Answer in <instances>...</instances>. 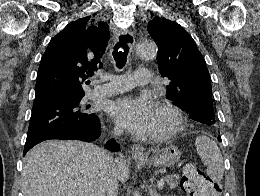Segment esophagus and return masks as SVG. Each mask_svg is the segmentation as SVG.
Instances as JSON below:
<instances>
[{
    "label": "esophagus",
    "mask_w": 260,
    "mask_h": 196,
    "mask_svg": "<svg viewBox=\"0 0 260 196\" xmlns=\"http://www.w3.org/2000/svg\"><path fill=\"white\" fill-rule=\"evenodd\" d=\"M122 35L126 36V39H127L129 46L132 47L135 44V37H134L133 32H129L127 30H124L122 32ZM117 36H119V34ZM131 153H132L133 158H135V159H145L147 157L145 152H144V148H143L142 145H137V144L133 145L131 147Z\"/></svg>",
    "instance_id": "34e87169"
}]
</instances>
